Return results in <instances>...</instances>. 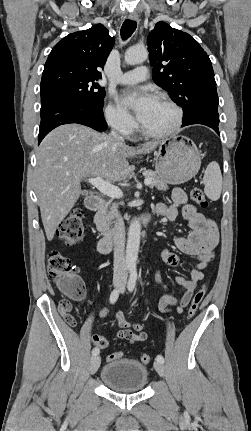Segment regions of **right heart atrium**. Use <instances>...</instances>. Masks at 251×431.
I'll return each mask as SVG.
<instances>
[{
  "mask_svg": "<svg viewBox=\"0 0 251 431\" xmlns=\"http://www.w3.org/2000/svg\"><path fill=\"white\" fill-rule=\"evenodd\" d=\"M107 124L124 136H130L136 129V123L131 115L122 108L110 102L104 109Z\"/></svg>",
  "mask_w": 251,
  "mask_h": 431,
  "instance_id": "right-heart-atrium-1",
  "label": "right heart atrium"
}]
</instances>
